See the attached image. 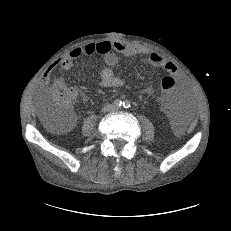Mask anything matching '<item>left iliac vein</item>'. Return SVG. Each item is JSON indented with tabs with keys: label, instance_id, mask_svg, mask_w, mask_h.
<instances>
[{
	"label": "left iliac vein",
	"instance_id": "4c4485c4",
	"mask_svg": "<svg viewBox=\"0 0 231 231\" xmlns=\"http://www.w3.org/2000/svg\"><path fill=\"white\" fill-rule=\"evenodd\" d=\"M112 108H113L112 110H118V107H116V106H114Z\"/></svg>",
	"mask_w": 231,
	"mask_h": 231
}]
</instances>
